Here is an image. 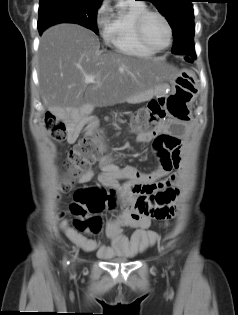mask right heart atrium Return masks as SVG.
Masks as SVG:
<instances>
[{"label": "right heart atrium", "instance_id": "d8ad5b80", "mask_svg": "<svg viewBox=\"0 0 238 315\" xmlns=\"http://www.w3.org/2000/svg\"><path fill=\"white\" fill-rule=\"evenodd\" d=\"M107 11H108V8H107L106 2H102L96 11L95 19L98 25H102L105 23Z\"/></svg>", "mask_w": 238, "mask_h": 315}]
</instances>
